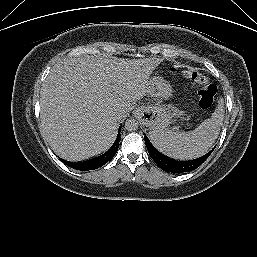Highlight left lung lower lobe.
Listing matches in <instances>:
<instances>
[{
  "instance_id": "0a47b994",
  "label": "left lung lower lobe",
  "mask_w": 257,
  "mask_h": 257,
  "mask_svg": "<svg viewBox=\"0 0 257 257\" xmlns=\"http://www.w3.org/2000/svg\"><path fill=\"white\" fill-rule=\"evenodd\" d=\"M146 147L149 155L154 160V162L165 172L171 173H183L189 172L196 168H198L213 152L214 148L206 153L205 155L188 161H176L170 158L165 157L161 153H159L153 145L150 143L149 139L144 136Z\"/></svg>"
}]
</instances>
